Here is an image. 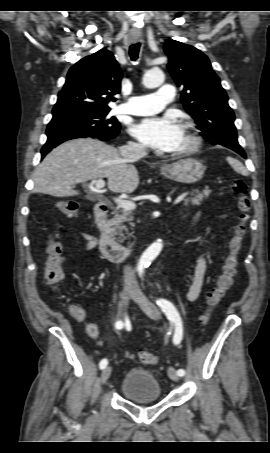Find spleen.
<instances>
[{
	"instance_id": "obj_1",
	"label": "spleen",
	"mask_w": 270,
	"mask_h": 453,
	"mask_svg": "<svg viewBox=\"0 0 270 453\" xmlns=\"http://www.w3.org/2000/svg\"><path fill=\"white\" fill-rule=\"evenodd\" d=\"M227 161L236 172L246 174V169L240 161L232 157H227Z\"/></svg>"
}]
</instances>
